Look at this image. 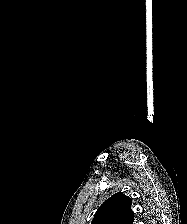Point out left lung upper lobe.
Wrapping results in <instances>:
<instances>
[{"label": "left lung upper lobe", "mask_w": 187, "mask_h": 224, "mask_svg": "<svg viewBox=\"0 0 187 224\" xmlns=\"http://www.w3.org/2000/svg\"><path fill=\"white\" fill-rule=\"evenodd\" d=\"M131 202L121 192L112 195L98 208L91 224H133Z\"/></svg>", "instance_id": "left-lung-upper-lobe-1"}]
</instances>
